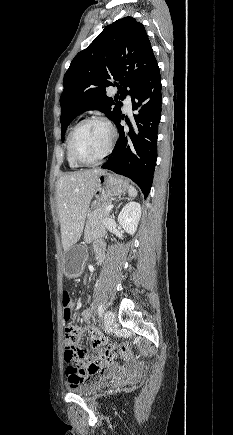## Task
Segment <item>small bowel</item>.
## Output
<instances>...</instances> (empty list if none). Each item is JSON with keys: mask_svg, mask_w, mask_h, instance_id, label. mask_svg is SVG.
<instances>
[{"mask_svg": "<svg viewBox=\"0 0 233 435\" xmlns=\"http://www.w3.org/2000/svg\"><path fill=\"white\" fill-rule=\"evenodd\" d=\"M105 246L102 242H97L95 245L94 253L96 263L100 265L104 259ZM73 309V304H72ZM92 312L90 310L86 311L81 317L82 322L86 321ZM67 321L66 319H64ZM86 332L89 337V342L92 347H97L106 343V339L103 336L101 330L96 326H87ZM81 351V361L79 366L73 367L69 366L66 369L67 380L71 383L77 384L83 380H90L94 377L99 376H109L113 373H127V374H137L140 371V367L134 364L131 360V354H127L125 364H120L115 360V356L107 355L102 358L103 365L100 370L96 373H88L87 368L91 364V360L94 358L93 355L87 353L85 349H80Z\"/></svg>", "mask_w": 233, "mask_h": 435, "instance_id": "small-bowel-1", "label": "small bowel"}]
</instances>
